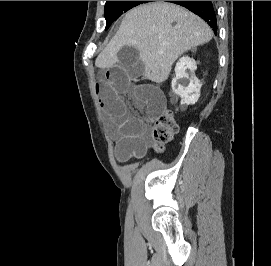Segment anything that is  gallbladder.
Masks as SVG:
<instances>
[{
    "label": "gallbladder",
    "mask_w": 271,
    "mask_h": 266,
    "mask_svg": "<svg viewBox=\"0 0 271 266\" xmlns=\"http://www.w3.org/2000/svg\"><path fill=\"white\" fill-rule=\"evenodd\" d=\"M118 65L126 72L129 79L144 74L145 65L140 60L139 51L134 46H124L118 52Z\"/></svg>",
    "instance_id": "1"
}]
</instances>
